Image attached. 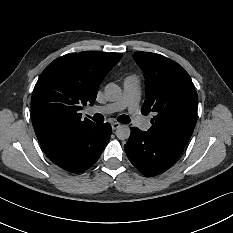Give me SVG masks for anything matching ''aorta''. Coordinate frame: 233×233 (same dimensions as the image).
Instances as JSON below:
<instances>
[{
  "mask_svg": "<svg viewBox=\"0 0 233 233\" xmlns=\"http://www.w3.org/2000/svg\"><path fill=\"white\" fill-rule=\"evenodd\" d=\"M105 98L107 101L114 102L117 101L121 95V88L115 83H109L105 86ZM116 136L120 140H126L130 136V128L126 124L120 125V127L116 130Z\"/></svg>",
  "mask_w": 233,
  "mask_h": 233,
  "instance_id": "1",
  "label": "aorta"
}]
</instances>
